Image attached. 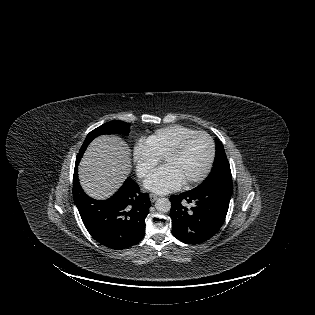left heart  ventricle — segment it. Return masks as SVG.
Listing matches in <instances>:
<instances>
[{
  "instance_id": "left-heart-ventricle-1",
  "label": "left heart ventricle",
  "mask_w": 315,
  "mask_h": 315,
  "mask_svg": "<svg viewBox=\"0 0 315 315\" xmlns=\"http://www.w3.org/2000/svg\"><path fill=\"white\" fill-rule=\"evenodd\" d=\"M209 156V143L206 137L191 139L182 153L167 159L165 165L172 168L185 182L198 176L204 169Z\"/></svg>"
}]
</instances>
